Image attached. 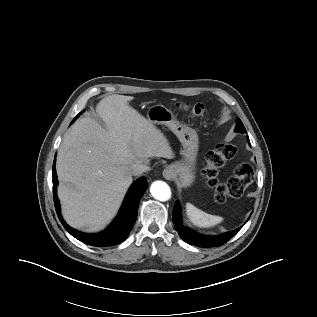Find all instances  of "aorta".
Returning <instances> with one entry per match:
<instances>
[{
	"label": "aorta",
	"mask_w": 317,
	"mask_h": 317,
	"mask_svg": "<svg viewBox=\"0 0 317 317\" xmlns=\"http://www.w3.org/2000/svg\"><path fill=\"white\" fill-rule=\"evenodd\" d=\"M150 193L156 200L161 202L167 201L171 197V189L163 181L153 182L150 187Z\"/></svg>",
	"instance_id": "aorta-1"
}]
</instances>
